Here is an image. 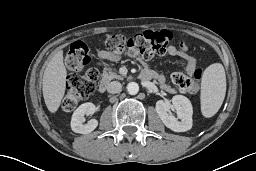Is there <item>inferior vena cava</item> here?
<instances>
[{
  "label": "inferior vena cava",
  "instance_id": "inferior-vena-cava-1",
  "mask_svg": "<svg viewBox=\"0 0 256 171\" xmlns=\"http://www.w3.org/2000/svg\"><path fill=\"white\" fill-rule=\"evenodd\" d=\"M122 90V85L118 81H112L107 85L108 93L115 94L119 93Z\"/></svg>",
  "mask_w": 256,
  "mask_h": 171
}]
</instances>
